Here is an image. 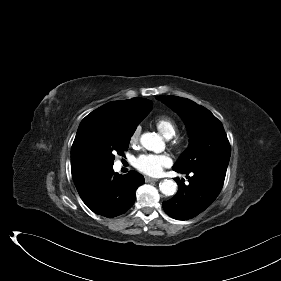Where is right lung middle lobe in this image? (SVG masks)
Returning <instances> with one entry per match:
<instances>
[{"mask_svg": "<svg viewBox=\"0 0 281 281\" xmlns=\"http://www.w3.org/2000/svg\"><path fill=\"white\" fill-rule=\"evenodd\" d=\"M134 129L126 131H112L97 141L91 148V157L98 168L112 167L114 154L124 155L123 151L128 150L130 138Z\"/></svg>", "mask_w": 281, "mask_h": 281, "instance_id": "1", "label": "right lung middle lobe"}]
</instances>
